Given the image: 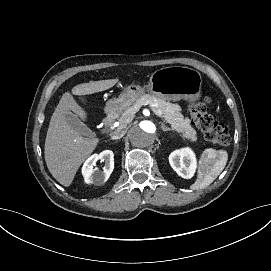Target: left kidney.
Masks as SVG:
<instances>
[{"label":"left kidney","mask_w":271,"mask_h":271,"mask_svg":"<svg viewBox=\"0 0 271 271\" xmlns=\"http://www.w3.org/2000/svg\"><path fill=\"white\" fill-rule=\"evenodd\" d=\"M169 163L173 170L184 179L192 178L197 167L195 153L189 147L173 151L169 155Z\"/></svg>","instance_id":"5707ae66"}]
</instances>
